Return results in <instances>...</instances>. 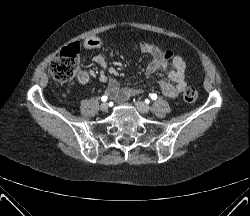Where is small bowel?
Masks as SVG:
<instances>
[{
	"instance_id": "c3829d8e",
	"label": "small bowel",
	"mask_w": 250,
	"mask_h": 216,
	"mask_svg": "<svg viewBox=\"0 0 250 216\" xmlns=\"http://www.w3.org/2000/svg\"><path fill=\"white\" fill-rule=\"evenodd\" d=\"M100 45L101 41L98 38H90L84 42L86 49H96ZM139 48L141 52L151 56V61L146 68L148 75L162 71L167 65L170 67L168 72L169 81L162 79L158 82L159 89L165 96L175 98L185 90L187 86L185 80L186 64L180 56L171 51H164L158 46L148 42L140 43ZM94 61L102 68L107 67V61L102 55H96ZM90 77L91 74L88 71L81 70L76 75V81L79 84H86ZM100 79L104 82H108V94L119 102L126 101L131 96L137 95L142 91V89L138 87L120 86L114 77L108 76L105 72L100 74Z\"/></svg>"
}]
</instances>
